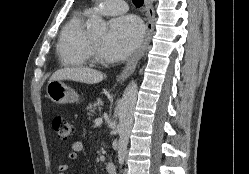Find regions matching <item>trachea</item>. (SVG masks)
Masks as SVG:
<instances>
[{
	"label": "trachea",
	"instance_id": "trachea-1",
	"mask_svg": "<svg viewBox=\"0 0 249 174\" xmlns=\"http://www.w3.org/2000/svg\"><path fill=\"white\" fill-rule=\"evenodd\" d=\"M133 4L139 8L143 5L144 0H132Z\"/></svg>",
	"mask_w": 249,
	"mask_h": 174
}]
</instances>
